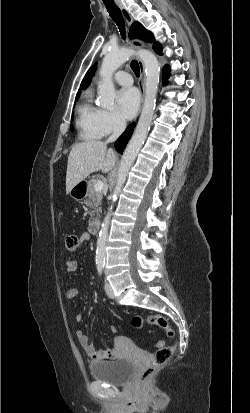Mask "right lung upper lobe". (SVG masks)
Masks as SVG:
<instances>
[{
    "mask_svg": "<svg viewBox=\"0 0 250 413\" xmlns=\"http://www.w3.org/2000/svg\"><path fill=\"white\" fill-rule=\"evenodd\" d=\"M96 65H97V63H95V64L89 69V71L87 72V74L85 75V78L83 79V81H82V83H81V88H82V89L90 83L93 75L95 74ZM79 95H80V92H78L76 96H79Z\"/></svg>",
    "mask_w": 250,
    "mask_h": 413,
    "instance_id": "1",
    "label": "right lung upper lobe"
}]
</instances>
